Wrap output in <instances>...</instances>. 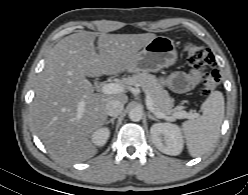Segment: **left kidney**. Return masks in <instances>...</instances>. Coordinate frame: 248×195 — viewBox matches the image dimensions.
<instances>
[{
    "mask_svg": "<svg viewBox=\"0 0 248 195\" xmlns=\"http://www.w3.org/2000/svg\"><path fill=\"white\" fill-rule=\"evenodd\" d=\"M152 141L159 151L167 155H179L183 149L180 128L171 123H156L150 129Z\"/></svg>",
    "mask_w": 248,
    "mask_h": 195,
    "instance_id": "5707ae66",
    "label": "left kidney"
}]
</instances>
